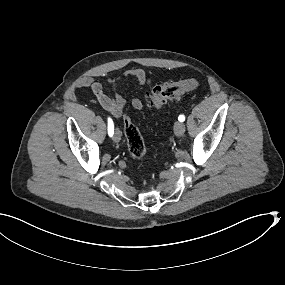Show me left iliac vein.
<instances>
[{
  "label": "left iliac vein",
  "instance_id": "4c4485c4",
  "mask_svg": "<svg viewBox=\"0 0 285 285\" xmlns=\"http://www.w3.org/2000/svg\"><path fill=\"white\" fill-rule=\"evenodd\" d=\"M174 132L177 136H182L185 132V125L182 122H176L174 124Z\"/></svg>",
  "mask_w": 285,
  "mask_h": 285
}]
</instances>
